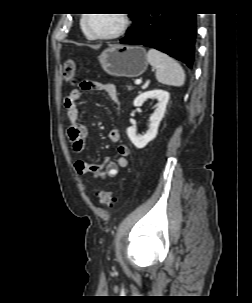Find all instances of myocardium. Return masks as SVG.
I'll return each instance as SVG.
<instances>
[{
    "instance_id": "f54148a6",
    "label": "myocardium",
    "mask_w": 252,
    "mask_h": 303,
    "mask_svg": "<svg viewBox=\"0 0 252 303\" xmlns=\"http://www.w3.org/2000/svg\"><path fill=\"white\" fill-rule=\"evenodd\" d=\"M118 15L120 16V25L117 29H115L109 33H104V34L91 33L87 28L88 17L83 18L82 23H81L82 29L87 37L94 39V40L115 39V38L121 36L127 30L129 23H130L128 14L122 13V14H118Z\"/></svg>"
}]
</instances>
